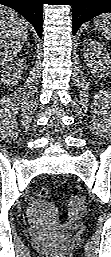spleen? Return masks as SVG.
<instances>
[{"instance_id":"obj_1","label":"spleen","mask_w":111,"mask_h":257,"mask_svg":"<svg viewBox=\"0 0 111 257\" xmlns=\"http://www.w3.org/2000/svg\"><path fill=\"white\" fill-rule=\"evenodd\" d=\"M97 30L108 40H111V13H106L94 21Z\"/></svg>"}]
</instances>
